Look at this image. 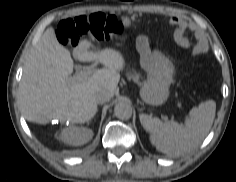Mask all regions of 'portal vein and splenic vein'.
<instances>
[{
    "label": "portal vein and splenic vein",
    "instance_id": "obj_1",
    "mask_svg": "<svg viewBox=\"0 0 236 182\" xmlns=\"http://www.w3.org/2000/svg\"><path fill=\"white\" fill-rule=\"evenodd\" d=\"M95 72H96V70L93 68H85V69L80 70L77 73V76L81 77V78H87L90 74H93Z\"/></svg>",
    "mask_w": 236,
    "mask_h": 182
}]
</instances>
